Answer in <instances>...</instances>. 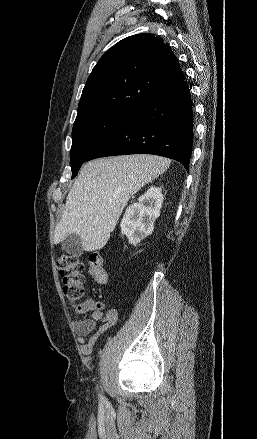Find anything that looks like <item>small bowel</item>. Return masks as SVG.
Wrapping results in <instances>:
<instances>
[{
  "instance_id": "1",
  "label": "small bowel",
  "mask_w": 257,
  "mask_h": 439,
  "mask_svg": "<svg viewBox=\"0 0 257 439\" xmlns=\"http://www.w3.org/2000/svg\"><path fill=\"white\" fill-rule=\"evenodd\" d=\"M104 307L102 302L87 298L75 308V312L79 315L90 314L87 319L73 322V329L78 336V342L81 344L82 351L86 355L92 353L97 340L95 335L89 338L87 337L96 330L98 324L105 323L106 325H114L117 322V312L109 310L104 313Z\"/></svg>"
}]
</instances>
